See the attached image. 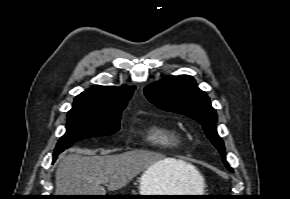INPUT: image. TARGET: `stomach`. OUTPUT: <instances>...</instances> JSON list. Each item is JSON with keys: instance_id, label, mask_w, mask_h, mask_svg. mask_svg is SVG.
<instances>
[{"instance_id": "stomach-1", "label": "stomach", "mask_w": 290, "mask_h": 199, "mask_svg": "<svg viewBox=\"0 0 290 199\" xmlns=\"http://www.w3.org/2000/svg\"><path fill=\"white\" fill-rule=\"evenodd\" d=\"M158 169L156 175H154L155 170ZM139 195H200L196 193H200L204 187V179L203 176L198 173L195 175V179L193 180V184L195 189L193 193L190 194H176L173 192L174 186L177 184V178L172 175L164 172L163 170H159V165H154L146 169L139 178ZM143 198H155V199H192V197H163V196H155V197H147Z\"/></svg>"}]
</instances>
